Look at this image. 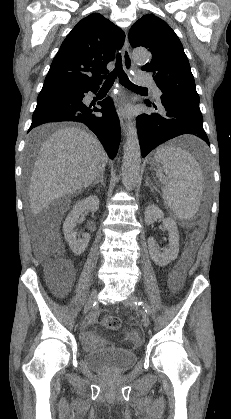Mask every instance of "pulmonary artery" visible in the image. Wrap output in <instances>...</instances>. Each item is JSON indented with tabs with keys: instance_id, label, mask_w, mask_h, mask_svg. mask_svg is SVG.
Returning a JSON list of instances; mask_svg holds the SVG:
<instances>
[{
	"instance_id": "obj_1",
	"label": "pulmonary artery",
	"mask_w": 231,
	"mask_h": 419,
	"mask_svg": "<svg viewBox=\"0 0 231 419\" xmlns=\"http://www.w3.org/2000/svg\"><path fill=\"white\" fill-rule=\"evenodd\" d=\"M135 81L140 85L151 87L157 99L161 98L162 92L151 77L144 74H136Z\"/></svg>"
}]
</instances>
